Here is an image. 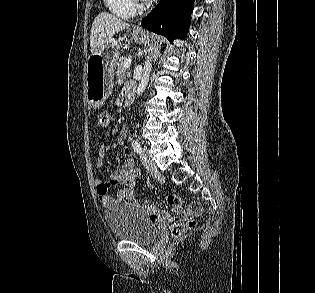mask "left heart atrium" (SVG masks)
Masks as SVG:
<instances>
[{
    "label": "left heart atrium",
    "mask_w": 315,
    "mask_h": 293,
    "mask_svg": "<svg viewBox=\"0 0 315 293\" xmlns=\"http://www.w3.org/2000/svg\"><path fill=\"white\" fill-rule=\"evenodd\" d=\"M144 1H147V2H148V1H152V0H144Z\"/></svg>",
    "instance_id": "left-heart-atrium-1"
}]
</instances>
